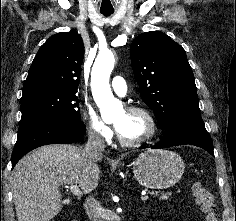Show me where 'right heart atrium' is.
<instances>
[{
    "label": "right heart atrium",
    "instance_id": "d8ad5b80",
    "mask_svg": "<svg viewBox=\"0 0 236 221\" xmlns=\"http://www.w3.org/2000/svg\"><path fill=\"white\" fill-rule=\"evenodd\" d=\"M83 122L87 134L97 142H109L113 137V130L99 115L92 104H86L83 110Z\"/></svg>",
    "mask_w": 236,
    "mask_h": 221
}]
</instances>
